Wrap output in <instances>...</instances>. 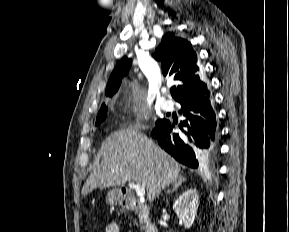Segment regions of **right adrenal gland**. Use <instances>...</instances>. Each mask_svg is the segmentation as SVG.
<instances>
[{"mask_svg":"<svg viewBox=\"0 0 289 232\" xmlns=\"http://www.w3.org/2000/svg\"><path fill=\"white\" fill-rule=\"evenodd\" d=\"M185 181H186V179L183 176H179L178 180L173 183L172 190H168L167 193L170 194V193L175 192L182 185V183Z\"/></svg>","mask_w":289,"mask_h":232,"instance_id":"1","label":"right adrenal gland"}]
</instances>
